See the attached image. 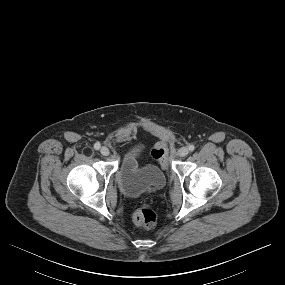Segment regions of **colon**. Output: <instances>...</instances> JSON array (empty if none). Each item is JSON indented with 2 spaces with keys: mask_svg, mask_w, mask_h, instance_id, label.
I'll list each match as a JSON object with an SVG mask.
<instances>
[{
  "mask_svg": "<svg viewBox=\"0 0 285 285\" xmlns=\"http://www.w3.org/2000/svg\"><path fill=\"white\" fill-rule=\"evenodd\" d=\"M152 155L162 165L167 166V148L164 144L155 147ZM132 220L135 225L144 229H150L156 223V214L149 204L143 203L133 212Z\"/></svg>",
  "mask_w": 285,
  "mask_h": 285,
  "instance_id": "colon-1",
  "label": "colon"
}]
</instances>
